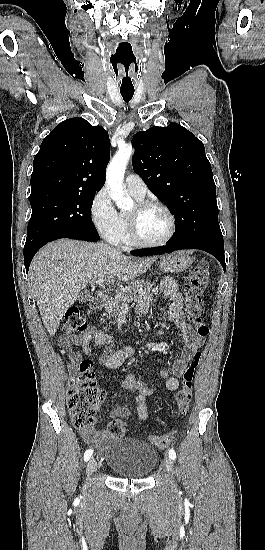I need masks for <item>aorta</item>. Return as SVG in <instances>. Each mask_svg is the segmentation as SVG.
Segmentation results:
<instances>
[{"label":"aorta","mask_w":265,"mask_h":550,"mask_svg":"<svg viewBox=\"0 0 265 550\" xmlns=\"http://www.w3.org/2000/svg\"><path fill=\"white\" fill-rule=\"evenodd\" d=\"M132 154L133 148L130 145L120 146L106 170V184L109 189V196L116 203L117 207L122 210L130 209L133 206V200L129 196H126L123 191L124 174Z\"/></svg>","instance_id":"obj_1"}]
</instances>
